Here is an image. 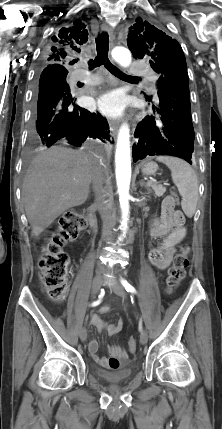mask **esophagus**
Wrapping results in <instances>:
<instances>
[{"label": "esophagus", "mask_w": 222, "mask_h": 429, "mask_svg": "<svg viewBox=\"0 0 222 429\" xmlns=\"http://www.w3.org/2000/svg\"><path fill=\"white\" fill-rule=\"evenodd\" d=\"M101 29H102V31H105L110 35L111 40L114 39L115 35H114V30L112 29V27H110L109 25L104 23V24H102ZM109 126H110V130L112 131V133L114 135H116L118 132V128H119V122L116 120H110Z\"/></svg>", "instance_id": "esophagus-1"}]
</instances>
